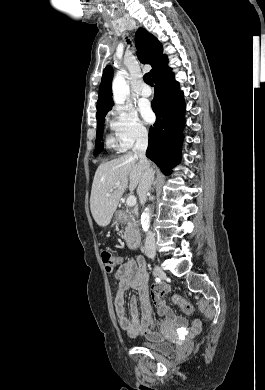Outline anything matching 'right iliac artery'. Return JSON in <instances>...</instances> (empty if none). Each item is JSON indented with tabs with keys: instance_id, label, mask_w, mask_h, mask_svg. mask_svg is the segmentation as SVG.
<instances>
[{
	"instance_id": "obj_1",
	"label": "right iliac artery",
	"mask_w": 265,
	"mask_h": 390,
	"mask_svg": "<svg viewBox=\"0 0 265 390\" xmlns=\"http://www.w3.org/2000/svg\"><path fill=\"white\" fill-rule=\"evenodd\" d=\"M155 281L159 283L161 280H160V278L156 277Z\"/></svg>"
}]
</instances>
